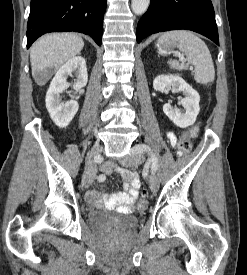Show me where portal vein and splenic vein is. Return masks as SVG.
<instances>
[{
	"mask_svg": "<svg viewBox=\"0 0 247 275\" xmlns=\"http://www.w3.org/2000/svg\"><path fill=\"white\" fill-rule=\"evenodd\" d=\"M179 58H180V60H181L182 62H184V61H185V59H184V56H183V55H179Z\"/></svg>",
	"mask_w": 247,
	"mask_h": 275,
	"instance_id": "obj_1",
	"label": "portal vein and splenic vein"
}]
</instances>
